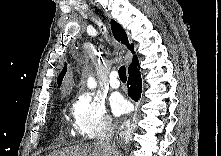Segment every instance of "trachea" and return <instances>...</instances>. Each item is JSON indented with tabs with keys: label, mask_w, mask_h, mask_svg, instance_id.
Here are the masks:
<instances>
[{
	"label": "trachea",
	"mask_w": 221,
	"mask_h": 156,
	"mask_svg": "<svg viewBox=\"0 0 221 156\" xmlns=\"http://www.w3.org/2000/svg\"><path fill=\"white\" fill-rule=\"evenodd\" d=\"M119 78H120L121 80H126V79H127L125 66H121V67L119 68Z\"/></svg>",
	"instance_id": "obj_1"
}]
</instances>
